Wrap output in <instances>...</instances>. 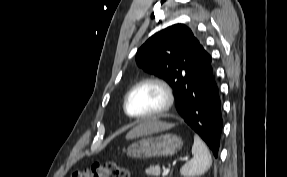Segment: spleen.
Segmentation results:
<instances>
[{"mask_svg": "<svg viewBox=\"0 0 287 177\" xmlns=\"http://www.w3.org/2000/svg\"><path fill=\"white\" fill-rule=\"evenodd\" d=\"M192 155L193 158L180 170L184 177L199 176L205 173L212 164L211 154L207 146L197 135L194 136Z\"/></svg>", "mask_w": 287, "mask_h": 177, "instance_id": "obj_1", "label": "spleen"}]
</instances>
